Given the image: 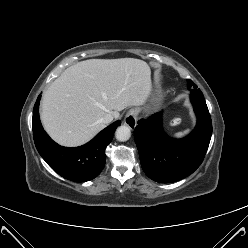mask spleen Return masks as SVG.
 I'll list each match as a JSON object with an SVG mask.
<instances>
[{
    "mask_svg": "<svg viewBox=\"0 0 248 248\" xmlns=\"http://www.w3.org/2000/svg\"><path fill=\"white\" fill-rule=\"evenodd\" d=\"M189 131H190L189 129H186V130H184L182 132L175 133L174 136L177 137V138H181V137L187 135L189 133Z\"/></svg>",
    "mask_w": 248,
    "mask_h": 248,
    "instance_id": "spleen-1",
    "label": "spleen"
}]
</instances>
